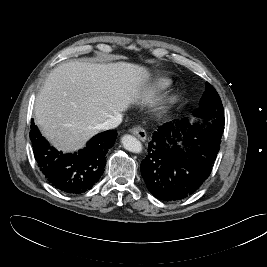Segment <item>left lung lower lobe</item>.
Returning a JSON list of instances; mask_svg holds the SVG:
<instances>
[{
	"instance_id": "obj_1",
	"label": "left lung lower lobe",
	"mask_w": 267,
	"mask_h": 267,
	"mask_svg": "<svg viewBox=\"0 0 267 267\" xmlns=\"http://www.w3.org/2000/svg\"><path fill=\"white\" fill-rule=\"evenodd\" d=\"M223 131L224 126L213 122L204 129L191 126L187 118L159 127L152 134L147 157L140 166L151 194L164 201L193 194L211 173Z\"/></svg>"
}]
</instances>
